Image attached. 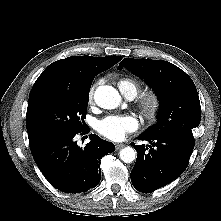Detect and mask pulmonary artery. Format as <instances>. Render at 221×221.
I'll list each match as a JSON object with an SVG mask.
<instances>
[{
  "mask_svg": "<svg viewBox=\"0 0 221 221\" xmlns=\"http://www.w3.org/2000/svg\"><path fill=\"white\" fill-rule=\"evenodd\" d=\"M127 98L132 99V98H133V96H128Z\"/></svg>",
  "mask_w": 221,
  "mask_h": 221,
  "instance_id": "pulmonary-artery-1",
  "label": "pulmonary artery"
}]
</instances>
